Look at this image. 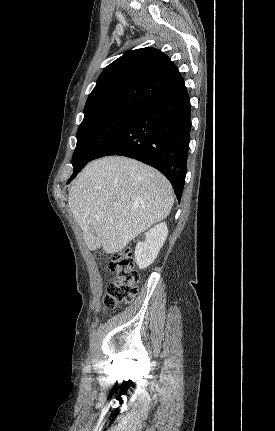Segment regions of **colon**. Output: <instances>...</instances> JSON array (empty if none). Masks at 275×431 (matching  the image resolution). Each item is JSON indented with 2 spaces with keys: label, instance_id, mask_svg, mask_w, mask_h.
Wrapping results in <instances>:
<instances>
[{
  "label": "colon",
  "instance_id": "5ec220e1",
  "mask_svg": "<svg viewBox=\"0 0 275 431\" xmlns=\"http://www.w3.org/2000/svg\"><path fill=\"white\" fill-rule=\"evenodd\" d=\"M114 278L107 286L103 298L104 307L115 309L124 303L131 302L138 293L139 275L134 269V258L130 250L115 254L109 263Z\"/></svg>",
  "mask_w": 275,
  "mask_h": 431
}]
</instances>
